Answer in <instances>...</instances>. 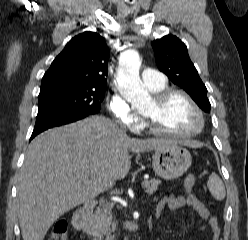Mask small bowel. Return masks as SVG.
<instances>
[{
	"label": "small bowel",
	"mask_w": 248,
	"mask_h": 240,
	"mask_svg": "<svg viewBox=\"0 0 248 240\" xmlns=\"http://www.w3.org/2000/svg\"><path fill=\"white\" fill-rule=\"evenodd\" d=\"M188 206L195 211L206 224L202 227L203 230L207 231L212 240L220 239V228L218 219L211 214L209 209L201 202L198 198L193 195H168L163 197L155 206V214L159 217L164 208L167 207L172 214L181 213L184 207Z\"/></svg>",
	"instance_id": "c3829d8e"
}]
</instances>
